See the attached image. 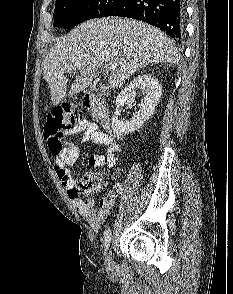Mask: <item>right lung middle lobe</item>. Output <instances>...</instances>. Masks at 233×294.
Wrapping results in <instances>:
<instances>
[{"label": "right lung middle lobe", "instance_id": "right-lung-middle-lobe-1", "mask_svg": "<svg viewBox=\"0 0 233 294\" xmlns=\"http://www.w3.org/2000/svg\"><path fill=\"white\" fill-rule=\"evenodd\" d=\"M122 0H56L54 27L73 28L86 20L107 17Z\"/></svg>", "mask_w": 233, "mask_h": 294}]
</instances>
